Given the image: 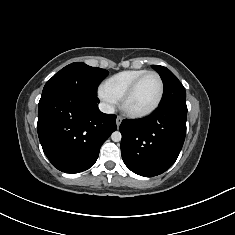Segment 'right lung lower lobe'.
Instances as JSON below:
<instances>
[{
	"instance_id": "1",
	"label": "right lung lower lobe",
	"mask_w": 235,
	"mask_h": 235,
	"mask_svg": "<svg viewBox=\"0 0 235 235\" xmlns=\"http://www.w3.org/2000/svg\"><path fill=\"white\" fill-rule=\"evenodd\" d=\"M99 99L71 90L44 94L37 130L49 161L58 170L78 173L96 162L101 145L116 130V116L98 109Z\"/></svg>"
}]
</instances>
